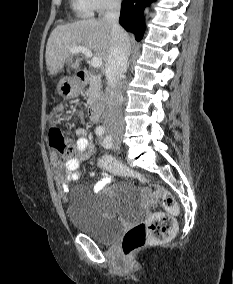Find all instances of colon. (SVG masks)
Listing matches in <instances>:
<instances>
[{
    "instance_id": "obj_1",
    "label": "colon",
    "mask_w": 233,
    "mask_h": 284,
    "mask_svg": "<svg viewBox=\"0 0 233 284\" xmlns=\"http://www.w3.org/2000/svg\"><path fill=\"white\" fill-rule=\"evenodd\" d=\"M51 146L64 155H70L74 151L72 141L64 135L58 126H53L49 131ZM99 165L111 174L130 178L142 183L149 182L148 178L135 170L128 168L113 157L101 158ZM165 212H157L148 220L140 222L130 228L123 237L122 251L126 258L144 247L150 241L163 242L168 240L175 232V218L178 206L173 196L164 189H159Z\"/></svg>"
}]
</instances>
